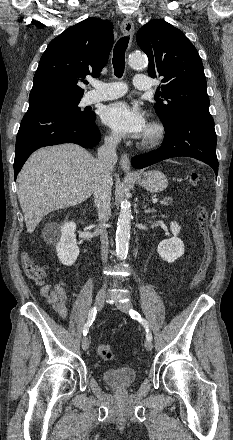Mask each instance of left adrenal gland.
<instances>
[{
  "instance_id": "a2214340",
  "label": "left adrenal gland",
  "mask_w": 233,
  "mask_h": 440,
  "mask_svg": "<svg viewBox=\"0 0 233 440\" xmlns=\"http://www.w3.org/2000/svg\"><path fill=\"white\" fill-rule=\"evenodd\" d=\"M142 208L144 209L145 213H153V212H155V209H146V206L144 205V202H143V207Z\"/></svg>"
}]
</instances>
